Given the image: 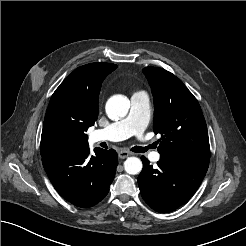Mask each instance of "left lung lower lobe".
I'll list each match as a JSON object with an SVG mask.
<instances>
[{
    "mask_svg": "<svg viewBox=\"0 0 246 246\" xmlns=\"http://www.w3.org/2000/svg\"><path fill=\"white\" fill-rule=\"evenodd\" d=\"M143 169L138 185L144 201L155 211L167 213L185 204L200 186L209 160L181 155H161L153 168L141 157Z\"/></svg>",
    "mask_w": 246,
    "mask_h": 246,
    "instance_id": "left-lung-lower-lobe-1",
    "label": "left lung lower lobe"
}]
</instances>
